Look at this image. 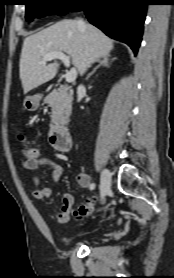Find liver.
<instances>
[{"label":"liver","mask_w":174,"mask_h":278,"mask_svg":"<svg viewBox=\"0 0 174 278\" xmlns=\"http://www.w3.org/2000/svg\"><path fill=\"white\" fill-rule=\"evenodd\" d=\"M113 40L91 24L82 30L76 20L64 19L24 39L19 62V75L24 94L50 81L59 64H43L51 52H65L81 75L99 58L109 56Z\"/></svg>","instance_id":"obj_1"}]
</instances>
